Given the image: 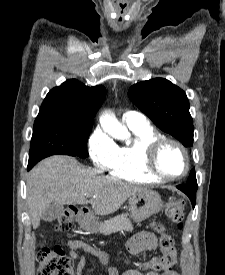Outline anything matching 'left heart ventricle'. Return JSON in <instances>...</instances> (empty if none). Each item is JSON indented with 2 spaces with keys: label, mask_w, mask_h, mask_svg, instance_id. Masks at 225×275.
<instances>
[{
  "label": "left heart ventricle",
  "mask_w": 225,
  "mask_h": 275,
  "mask_svg": "<svg viewBox=\"0 0 225 275\" xmlns=\"http://www.w3.org/2000/svg\"><path fill=\"white\" fill-rule=\"evenodd\" d=\"M160 170L167 175L180 174L184 168V159L180 150L174 145H167L159 155Z\"/></svg>",
  "instance_id": "1"
}]
</instances>
